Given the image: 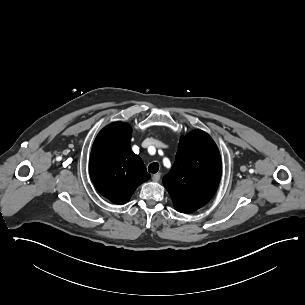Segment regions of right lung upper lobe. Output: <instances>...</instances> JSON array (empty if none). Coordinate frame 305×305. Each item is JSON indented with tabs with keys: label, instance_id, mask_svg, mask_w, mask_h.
<instances>
[{
	"label": "right lung upper lobe",
	"instance_id": "cb5924a9",
	"mask_svg": "<svg viewBox=\"0 0 305 305\" xmlns=\"http://www.w3.org/2000/svg\"><path fill=\"white\" fill-rule=\"evenodd\" d=\"M132 129L123 122L112 123L97 135L89 171L97 190L113 203L122 205L135 189L150 178L141 158L131 150Z\"/></svg>",
	"mask_w": 305,
	"mask_h": 305
}]
</instances>
